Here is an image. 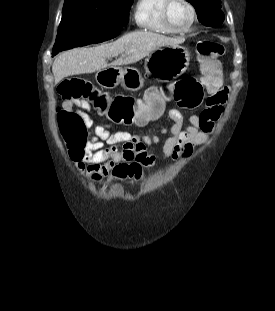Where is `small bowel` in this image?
I'll list each match as a JSON object with an SVG mask.
<instances>
[{
    "label": "small bowel",
    "mask_w": 275,
    "mask_h": 311,
    "mask_svg": "<svg viewBox=\"0 0 275 311\" xmlns=\"http://www.w3.org/2000/svg\"><path fill=\"white\" fill-rule=\"evenodd\" d=\"M204 84L210 96L206 101V106L201 107L200 114L190 116L188 125L183 128L185 121L183 113L177 108H172L167 112L166 125L157 134L111 131L107 125L93 127V121L85 112L90 109L89 103L64 102V110L80 108L78 113L82 116L85 125L93 127L89 142L74 156L75 168L83 177L96 183L109 176L116 165H128V162L134 161L140 166L154 167L157 157L149 153L147 148L157 145L160 137L164 135H168V138L163 143L161 160L176 159L185 144L197 142L212 131L214 121L220 117L222 105L228 98L229 88L223 87L220 72L206 77ZM184 110L194 112L195 107L185 105Z\"/></svg>",
    "instance_id": "c3829d8e"
}]
</instances>
